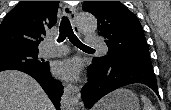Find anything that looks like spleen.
Here are the masks:
<instances>
[{
    "instance_id": "spleen-1",
    "label": "spleen",
    "mask_w": 171,
    "mask_h": 110,
    "mask_svg": "<svg viewBox=\"0 0 171 110\" xmlns=\"http://www.w3.org/2000/svg\"><path fill=\"white\" fill-rule=\"evenodd\" d=\"M141 100L144 104L143 110H156L149 98L144 95H141Z\"/></svg>"
}]
</instances>
